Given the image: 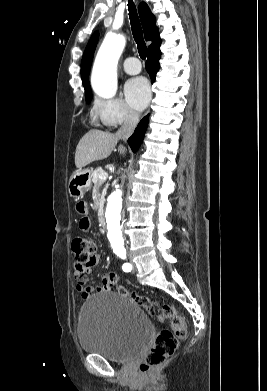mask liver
Segmentation results:
<instances>
[{
  "label": "liver",
  "mask_w": 267,
  "mask_h": 391,
  "mask_svg": "<svg viewBox=\"0 0 267 391\" xmlns=\"http://www.w3.org/2000/svg\"><path fill=\"white\" fill-rule=\"evenodd\" d=\"M119 138L116 135L100 130L88 131L79 141L75 153V165L77 168L103 160L110 156L115 149ZM118 152L125 153L123 146H119Z\"/></svg>",
  "instance_id": "1"
}]
</instances>
